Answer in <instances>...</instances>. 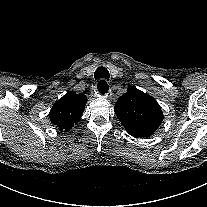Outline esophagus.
Wrapping results in <instances>:
<instances>
[{
    "label": "esophagus",
    "instance_id": "esophagus-1",
    "mask_svg": "<svg viewBox=\"0 0 207 207\" xmlns=\"http://www.w3.org/2000/svg\"><path fill=\"white\" fill-rule=\"evenodd\" d=\"M103 80V79H102ZM105 81V80H104ZM106 82V81H105ZM94 92H95V95H98V91H97V89H94ZM106 94V93H105ZM105 94H103V95H105ZM108 95H106V96H104V97H107Z\"/></svg>",
    "mask_w": 207,
    "mask_h": 207
}]
</instances>
